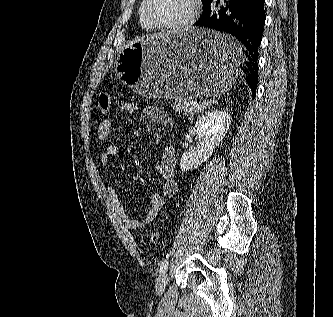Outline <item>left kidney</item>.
Masks as SVG:
<instances>
[{
    "label": "left kidney",
    "instance_id": "obj_1",
    "mask_svg": "<svg viewBox=\"0 0 333 317\" xmlns=\"http://www.w3.org/2000/svg\"><path fill=\"white\" fill-rule=\"evenodd\" d=\"M231 114L222 109L208 111L200 116L193 128V133L202 141L193 152H185L180 161L182 171L191 170L202 165L212 155L226 135L231 124Z\"/></svg>",
    "mask_w": 333,
    "mask_h": 317
}]
</instances>
